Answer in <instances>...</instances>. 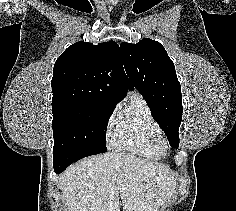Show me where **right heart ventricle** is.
<instances>
[{
  "instance_id": "obj_1",
  "label": "right heart ventricle",
  "mask_w": 236,
  "mask_h": 211,
  "mask_svg": "<svg viewBox=\"0 0 236 211\" xmlns=\"http://www.w3.org/2000/svg\"><path fill=\"white\" fill-rule=\"evenodd\" d=\"M160 131L146 101L140 94L133 93L115 119L110 147L148 160H159L161 156L151 149L149 141Z\"/></svg>"
}]
</instances>
